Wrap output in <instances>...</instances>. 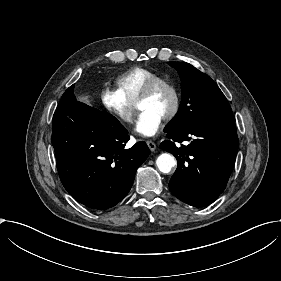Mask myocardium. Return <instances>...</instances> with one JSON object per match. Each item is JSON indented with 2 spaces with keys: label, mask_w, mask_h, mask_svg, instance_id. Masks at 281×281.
Segmentation results:
<instances>
[{
  "label": "myocardium",
  "mask_w": 281,
  "mask_h": 281,
  "mask_svg": "<svg viewBox=\"0 0 281 281\" xmlns=\"http://www.w3.org/2000/svg\"><path fill=\"white\" fill-rule=\"evenodd\" d=\"M160 87H166L172 95L171 108L163 120L165 122H169L176 117V115L179 112L180 104H181L180 93H179L176 85L173 82H171L170 80L162 78V77H157V78L151 80L145 86L143 91L141 92V94L137 100V106L139 105V103L141 101L150 98L155 93V91Z\"/></svg>",
  "instance_id": "obj_1"
}]
</instances>
